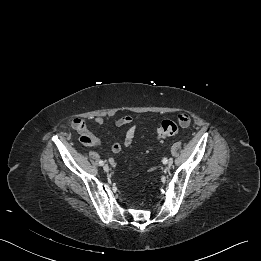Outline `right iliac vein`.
Instances as JSON below:
<instances>
[{"label":"right iliac vein","mask_w":261,"mask_h":261,"mask_svg":"<svg viewBox=\"0 0 261 261\" xmlns=\"http://www.w3.org/2000/svg\"><path fill=\"white\" fill-rule=\"evenodd\" d=\"M103 170H104L105 172H108V171H109V166H108V165H104V166H103Z\"/></svg>","instance_id":"1"}]
</instances>
